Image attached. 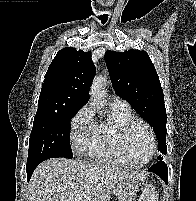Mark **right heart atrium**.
<instances>
[{"instance_id":"1","label":"right heart atrium","mask_w":196,"mask_h":201,"mask_svg":"<svg viewBox=\"0 0 196 201\" xmlns=\"http://www.w3.org/2000/svg\"><path fill=\"white\" fill-rule=\"evenodd\" d=\"M93 111L89 105L81 107L70 121V138L73 150L84 153L88 150L95 133Z\"/></svg>"}]
</instances>
